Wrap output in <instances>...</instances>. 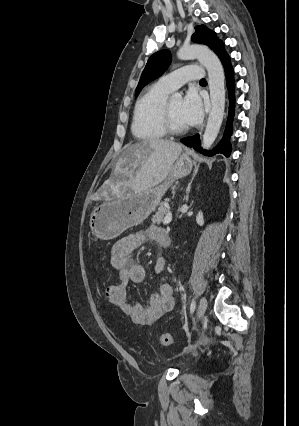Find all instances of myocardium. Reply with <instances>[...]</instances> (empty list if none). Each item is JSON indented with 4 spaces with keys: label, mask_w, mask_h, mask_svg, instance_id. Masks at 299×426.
<instances>
[{
    "label": "myocardium",
    "mask_w": 299,
    "mask_h": 426,
    "mask_svg": "<svg viewBox=\"0 0 299 426\" xmlns=\"http://www.w3.org/2000/svg\"><path fill=\"white\" fill-rule=\"evenodd\" d=\"M162 125L166 133L171 135H179L187 131V126H177L171 116L170 103L166 100L161 114Z\"/></svg>",
    "instance_id": "myocardium-1"
}]
</instances>
